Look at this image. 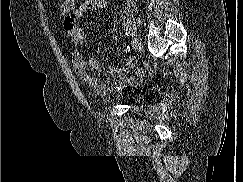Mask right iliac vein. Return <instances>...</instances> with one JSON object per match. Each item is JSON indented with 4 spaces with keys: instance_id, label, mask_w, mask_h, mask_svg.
I'll return each mask as SVG.
<instances>
[{
    "instance_id": "63e3f726",
    "label": "right iliac vein",
    "mask_w": 243,
    "mask_h": 182,
    "mask_svg": "<svg viewBox=\"0 0 243 182\" xmlns=\"http://www.w3.org/2000/svg\"><path fill=\"white\" fill-rule=\"evenodd\" d=\"M132 45H133V48H134L136 51H141V49H142V44H141V42L139 41L138 38H133V39H132Z\"/></svg>"
}]
</instances>
